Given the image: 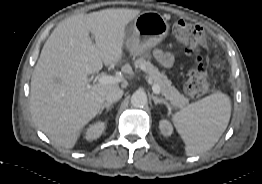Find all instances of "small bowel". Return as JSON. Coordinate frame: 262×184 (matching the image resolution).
Here are the masks:
<instances>
[{"instance_id":"small-bowel-1","label":"small bowel","mask_w":262,"mask_h":184,"mask_svg":"<svg viewBox=\"0 0 262 184\" xmlns=\"http://www.w3.org/2000/svg\"><path fill=\"white\" fill-rule=\"evenodd\" d=\"M154 55L156 59L164 66V67H172L175 62V56L171 53L164 52L162 50H155Z\"/></svg>"}]
</instances>
